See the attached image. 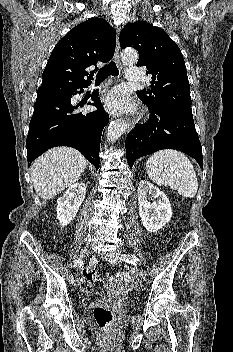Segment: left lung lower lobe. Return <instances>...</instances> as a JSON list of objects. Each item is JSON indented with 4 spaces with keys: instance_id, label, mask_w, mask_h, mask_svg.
I'll return each mask as SVG.
<instances>
[{
    "instance_id": "left-lung-lower-lobe-1",
    "label": "left lung lower lobe",
    "mask_w": 233,
    "mask_h": 352,
    "mask_svg": "<svg viewBox=\"0 0 233 352\" xmlns=\"http://www.w3.org/2000/svg\"><path fill=\"white\" fill-rule=\"evenodd\" d=\"M150 118L145 124H136L125 141L130 168L136 159L161 149H175L194 158L203 167L202 147L193 117L172 109L149 107Z\"/></svg>"
}]
</instances>
